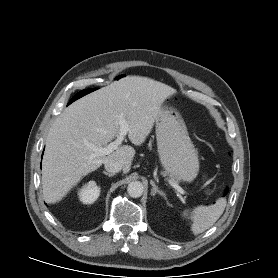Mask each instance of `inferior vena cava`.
Segmentation results:
<instances>
[{"label":"inferior vena cava","instance_id":"1","mask_svg":"<svg viewBox=\"0 0 278 278\" xmlns=\"http://www.w3.org/2000/svg\"><path fill=\"white\" fill-rule=\"evenodd\" d=\"M104 167L108 172L114 174L122 170V165L119 162L114 160H107L104 163Z\"/></svg>","mask_w":278,"mask_h":278}]
</instances>
